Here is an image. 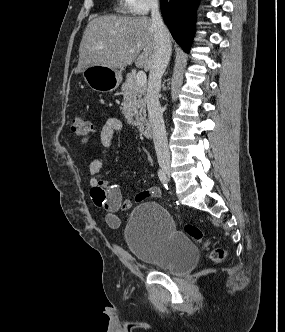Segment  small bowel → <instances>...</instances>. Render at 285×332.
<instances>
[{
  "label": "small bowel",
  "mask_w": 285,
  "mask_h": 332,
  "mask_svg": "<svg viewBox=\"0 0 285 332\" xmlns=\"http://www.w3.org/2000/svg\"><path fill=\"white\" fill-rule=\"evenodd\" d=\"M122 128L123 124L119 118L110 117L106 120L99 133V141L103 148L102 155L94 157L89 163L91 199L97 207L107 211V223L113 228H117L120 225V219L116 215V212L129 210L132 207V201L124 199L120 189L116 185H109L107 180L100 179L98 175L103 167V155L111 146L114 135L121 131ZM159 195L160 189L157 186H153L139 192L135 200L136 202H143Z\"/></svg>",
  "instance_id": "small-bowel-1"
}]
</instances>
